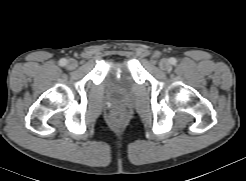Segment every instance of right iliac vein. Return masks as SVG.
Masks as SVG:
<instances>
[{"mask_svg": "<svg viewBox=\"0 0 246 181\" xmlns=\"http://www.w3.org/2000/svg\"><path fill=\"white\" fill-rule=\"evenodd\" d=\"M78 66V62L75 59H70L67 62V68L70 70H73L75 68H77Z\"/></svg>", "mask_w": 246, "mask_h": 181, "instance_id": "right-iliac-vein-1", "label": "right iliac vein"}]
</instances>
